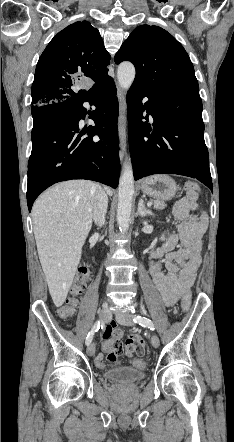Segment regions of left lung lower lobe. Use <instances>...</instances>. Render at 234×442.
I'll use <instances>...</instances> for the list:
<instances>
[{
    "mask_svg": "<svg viewBox=\"0 0 234 442\" xmlns=\"http://www.w3.org/2000/svg\"><path fill=\"white\" fill-rule=\"evenodd\" d=\"M143 98L148 99L144 105ZM127 102L135 180L153 174H179L197 178L212 190L199 92L133 84ZM145 110V119L148 121V115L154 119L153 127L141 121Z\"/></svg>",
    "mask_w": 234,
    "mask_h": 442,
    "instance_id": "obj_1",
    "label": "left lung lower lobe"
}]
</instances>
